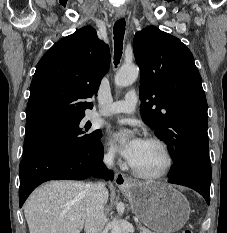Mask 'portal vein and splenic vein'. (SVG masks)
Listing matches in <instances>:
<instances>
[{"label": "portal vein and splenic vein", "mask_w": 227, "mask_h": 233, "mask_svg": "<svg viewBox=\"0 0 227 233\" xmlns=\"http://www.w3.org/2000/svg\"><path fill=\"white\" fill-rule=\"evenodd\" d=\"M70 219H71V220H73V219H74V217H71Z\"/></svg>", "instance_id": "portal-vein-and-splenic-vein-1"}]
</instances>
